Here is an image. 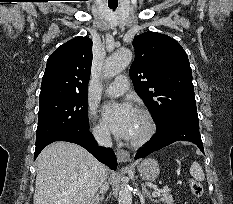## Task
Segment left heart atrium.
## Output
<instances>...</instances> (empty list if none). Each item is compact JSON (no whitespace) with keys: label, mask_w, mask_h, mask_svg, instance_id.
Returning <instances> with one entry per match:
<instances>
[{"label":"left heart atrium","mask_w":233,"mask_h":204,"mask_svg":"<svg viewBox=\"0 0 233 204\" xmlns=\"http://www.w3.org/2000/svg\"><path fill=\"white\" fill-rule=\"evenodd\" d=\"M136 111L127 102H110L103 106L102 117L106 126L118 137L129 139Z\"/></svg>","instance_id":"39dd6f15"}]
</instances>
